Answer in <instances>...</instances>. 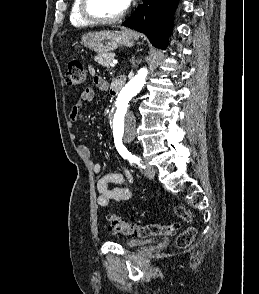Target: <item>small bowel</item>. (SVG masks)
<instances>
[{
    "label": "small bowel",
    "mask_w": 259,
    "mask_h": 294,
    "mask_svg": "<svg viewBox=\"0 0 259 294\" xmlns=\"http://www.w3.org/2000/svg\"><path fill=\"white\" fill-rule=\"evenodd\" d=\"M91 74L93 75V81L98 90L106 92L109 89V85L105 79L100 76L95 75V71L90 69ZM94 90L91 87L84 88L76 103L73 105L69 118L73 122L77 119L79 112L83 105L87 102H90L94 98ZM75 137V135H73ZM78 150L81 154L87 157L90 161V164L93 170L96 173H101L102 168L99 162L92 159V154L90 148L86 145H79ZM132 175L129 170L125 169L122 172H114L110 174L103 175L97 181V202L101 207L109 206L111 201H126L129 200L133 193L134 189L127 187L131 182ZM110 185L114 187L110 188Z\"/></svg>",
    "instance_id": "1"
}]
</instances>
